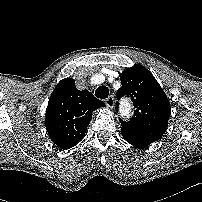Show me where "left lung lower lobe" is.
Returning a JSON list of instances; mask_svg holds the SVG:
<instances>
[{"label":"left lung lower lobe","instance_id":"0a47b994","mask_svg":"<svg viewBox=\"0 0 202 202\" xmlns=\"http://www.w3.org/2000/svg\"><path fill=\"white\" fill-rule=\"evenodd\" d=\"M121 133H122L124 140H126L128 143H130L131 145H133L135 147L144 148V147L148 146L149 144L155 142L153 140L144 139V138H140V137L131 135L125 131H121Z\"/></svg>","mask_w":202,"mask_h":202}]
</instances>
